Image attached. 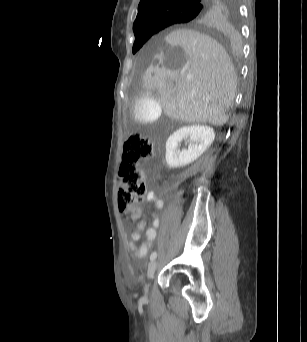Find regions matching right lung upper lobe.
<instances>
[{
    "mask_svg": "<svg viewBox=\"0 0 307 342\" xmlns=\"http://www.w3.org/2000/svg\"><path fill=\"white\" fill-rule=\"evenodd\" d=\"M231 7L230 0H141L133 31L156 28L170 13L195 9L198 14L188 22L208 35L224 38L230 33Z\"/></svg>",
    "mask_w": 307,
    "mask_h": 342,
    "instance_id": "obj_1",
    "label": "right lung upper lobe"
}]
</instances>
